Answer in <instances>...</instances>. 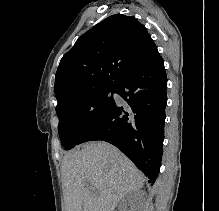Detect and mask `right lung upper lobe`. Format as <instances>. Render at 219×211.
<instances>
[{
	"instance_id": "cb5924a9",
	"label": "right lung upper lobe",
	"mask_w": 219,
	"mask_h": 211,
	"mask_svg": "<svg viewBox=\"0 0 219 211\" xmlns=\"http://www.w3.org/2000/svg\"><path fill=\"white\" fill-rule=\"evenodd\" d=\"M159 56L144 25L115 14L80 36L61 59L55 76L58 104L83 93L116 85L131 71Z\"/></svg>"
}]
</instances>
